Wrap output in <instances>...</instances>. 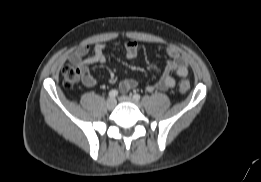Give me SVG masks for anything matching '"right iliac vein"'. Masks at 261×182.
I'll list each match as a JSON object with an SVG mask.
<instances>
[{
  "mask_svg": "<svg viewBox=\"0 0 261 182\" xmlns=\"http://www.w3.org/2000/svg\"><path fill=\"white\" fill-rule=\"evenodd\" d=\"M116 106V100L113 99V98H109L107 101H106V107L107 109L109 110H112L114 109Z\"/></svg>",
  "mask_w": 261,
  "mask_h": 182,
  "instance_id": "1",
  "label": "right iliac vein"
}]
</instances>
